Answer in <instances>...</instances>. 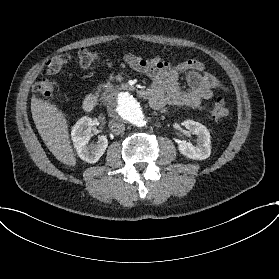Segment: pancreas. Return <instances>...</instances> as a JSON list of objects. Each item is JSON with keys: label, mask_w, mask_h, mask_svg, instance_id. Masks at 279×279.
Returning <instances> with one entry per match:
<instances>
[{"label": "pancreas", "mask_w": 279, "mask_h": 279, "mask_svg": "<svg viewBox=\"0 0 279 279\" xmlns=\"http://www.w3.org/2000/svg\"><path fill=\"white\" fill-rule=\"evenodd\" d=\"M112 88V83L111 82H107L106 84L100 83L98 85V92H103L104 90H108Z\"/></svg>", "instance_id": "1"}]
</instances>
